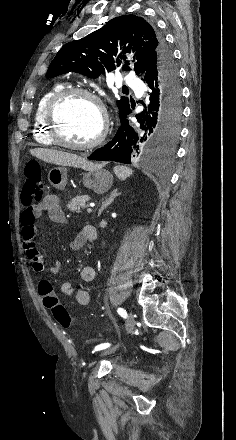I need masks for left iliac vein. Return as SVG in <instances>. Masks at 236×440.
Instances as JSON below:
<instances>
[{
	"instance_id": "left-iliac-vein-1",
	"label": "left iliac vein",
	"mask_w": 236,
	"mask_h": 440,
	"mask_svg": "<svg viewBox=\"0 0 236 440\" xmlns=\"http://www.w3.org/2000/svg\"><path fill=\"white\" fill-rule=\"evenodd\" d=\"M127 323H128V332L131 333L135 324L134 317L131 312H129L127 315ZM115 350L116 348H112L110 350H107L106 352H103L102 354L111 353L114 352Z\"/></svg>"
}]
</instances>
